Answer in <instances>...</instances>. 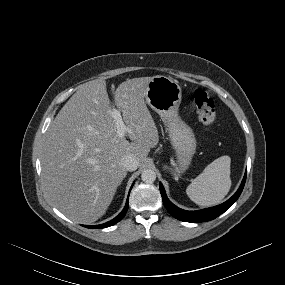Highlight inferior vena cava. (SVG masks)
I'll list each match as a JSON object with an SVG mask.
<instances>
[{
  "instance_id": "obj_1",
  "label": "inferior vena cava",
  "mask_w": 285,
  "mask_h": 285,
  "mask_svg": "<svg viewBox=\"0 0 285 285\" xmlns=\"http://www.w3.org/2000/svg\"><path fill=\"white\" fill-rule=\"evenodd\" d=\"M121 165L125 170L134 171L138 167V160L131 154L125 155L121 158Z\"/></svg>"
}]
</instances>
